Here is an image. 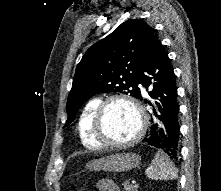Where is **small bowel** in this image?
Instances as JSON below:
<instances>
[{
  "instance_id": "obj_1",
  "label": "small bowel",
  "mask_w": 221,
  "mask_h": 191,
  "mask_svg": "<svg viewBox=\"0 0 221 191\" xmlns=\"http://www.w3.org/2000/svg\"><path fill=\"white\" fill-rule=\"evenodd\" d=\"M99 191H121L119 187L110 180H100L96 184Z\"/></svg>"
}]
</instances>
